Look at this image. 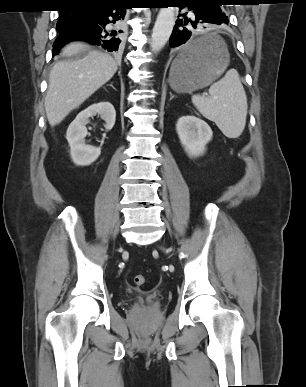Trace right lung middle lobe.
Wrapping results in <instances>:
<instances>
[{
    "label": "right lung middle lobe",
    "instance_id": "right-lung-middle-lobe-1",
    "mask_svg": "<svg viewBox=\"0 0 306 387\" xmlns=\"http://www.w3.org/2000/svg\"><path fill=\"white\" fill-rule=\"evenodd\" d=\"M83 18L82 8L66 9L60 13V18L57 23V30L69 28L79 22Z\"/></svg>",
    "mask_w": 306,
    "mask_h": 387
}]
</instances>
